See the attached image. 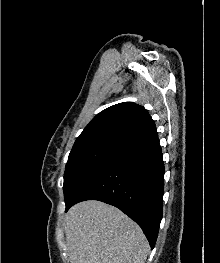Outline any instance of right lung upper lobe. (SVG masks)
<instances>
[{
    "mask_svg": "<svg viewBox=\"0 0 220 263\" xmlns=\"http://www.w3.org/2000/svg\"><path fill=\"white\" fill-rule=\"evenodd\" d=\"M157 135L155 124L148 111L135 103L113 105L85 127L71 151L86 149H122Z\"/></svg>",
    "mask_w": 220,
    "mask_h": 263,
    "instance_id": "obj_1",
    "label": "right lung upper lobe"
}]
</instances>
